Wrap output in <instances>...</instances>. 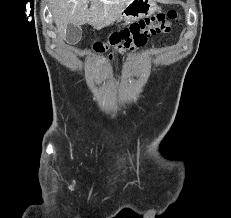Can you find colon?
I'll return each mask as SVG.
<instances>
[{"instance_id":"colon-1","label":"colon","mask_w":231,"mask_h":218,"mask_svg":"<svg viewBox=\"0 0 231 218\" xmlns=\"http://www.w3.org/2000/svg\"><path fill=\"white\" fill-rule=\"evenodd\" d=\"M176 17V11L170 10L133 22L129 26L112 33L107 41L96 42L93 45V51L96 53L107 52L111 57L116 53L143 46L149 37L170 32Z\"/></svg>"}]
</instances>
